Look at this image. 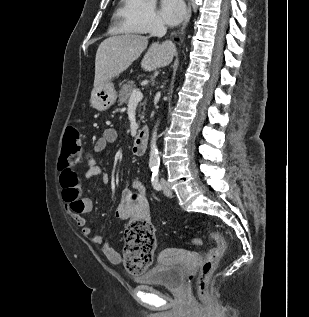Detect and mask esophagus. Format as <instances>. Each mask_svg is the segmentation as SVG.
<instances>
[{"label": "esophagus", "instance_id": "34e87169", "mask_svg": "<svg viewBox=\"0 0 309 317\" xmlns=\"http://www.w3.org/2000/svg\"><path fill=\"white\" fill-rule=\"evenodd\" d=\"M191 13H192V9H191V5L189 3L187 14H186L185 20H184L182 28H181L182 30H184L185 27L187 26V24H188V22H189V20L191 18Z\"/></svg>", "mask_w": 309, "mask_h": 317}]
</instances>
